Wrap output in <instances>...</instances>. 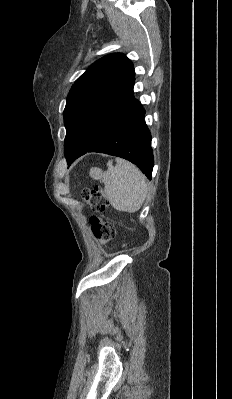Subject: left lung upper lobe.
I'll return each instance as SVG.
<instances>
[{"label":"left lung upper lobe","mask_w":232,"mask_h":399,"mask_svg":"<svg viewBox=\"0 0 232 399\" xmlns=\"http://www.w3.org/2000/svg\"><path fill=\"white\" fill-rule=\"evenodd\" d=\"M132 62L121 53L94 62L73 84L63 112L68 166L101 142L135 103Z\"/></svg>","instance_id":"obj_1"}]
</instances>
